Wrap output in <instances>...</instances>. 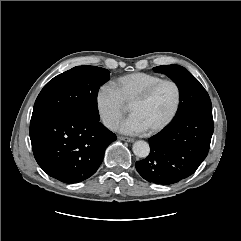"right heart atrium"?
Returning a JSON list of instances; mask_svg holds the SVG:
<instances>
[{
  "label": "right heart atrium",
  "mask_w": 241,
  "mask_h": 241,
  "mask_svg": "<svg viewBox=\"0 0 241 241\" xmlns=\"http://www.w3.org/2000/svg\"><path fill=\"white\" fill-rule=\"evenodd\" d=\"M95 103L103 124L109 129L116 128L126 111V106L114 88L102 85L96 93Z\"/></svg>",
  "instance_id": "d8ad5b80"
}]
</instances>
